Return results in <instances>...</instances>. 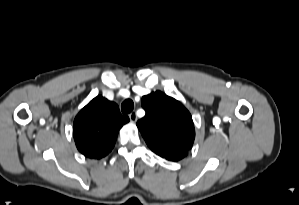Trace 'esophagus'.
Here are the masks:
<instances>
[{"mask_svg":"<svg viewBox=\"0 0 299 205\" xmlns=\"http://www.w3.org/2000/svg\"><path fill=\"white\" fill-rule=\"evenodd\" d=\"M129 118L131 122H136L137 121V114L136 112H132L129 114Z\"/></svg>","mask_w":299,"mask_h":205,"instance_id":"esophagus-1","label":"esophagus"}]
</instances>
